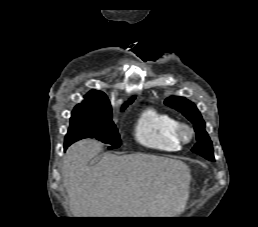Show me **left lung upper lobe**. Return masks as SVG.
<instances>
[{
  "mask_svg": "<svg viewBox=\"0 0 258 227\" xmlns=\"http://www.w3.org/2000/svg\"><path fill=\"white\" fill-rule=\"evenodd\" d=\"M165 104L181 112L194 124L197 143L192 148V151L214 161L212 142L205 131V122L196 105L183 97H169L165 100Z\"/></svg>",
  "mask_w": 258,
  "mask_h": 227,
  "instance_id": "5c2ea615",
  "label": "left lung upper lobe"
}]
</instances>
